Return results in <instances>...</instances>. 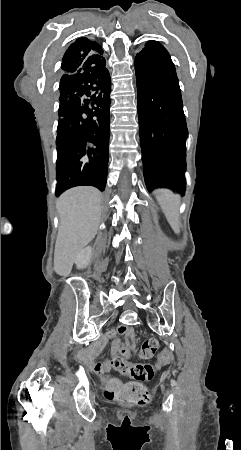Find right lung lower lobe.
Here are the masks:
<instances>
[{"mask_svg": "<svg viewBox=\"0 0 241 450\" xmlns=\"http://www.w3.org/2000/svg\"><path fill=\"white\" fill-rule=\"evenodd\" d=\"M105 65L84 66L60 79L56 196L81 185L105 189L111 103Z\"/></svg>", "mask_w": 241, "mask_h": 450, "instance_id": "right-lung-lower-lobe-1", "label": "right lung lower lobe"}]
</instances>
